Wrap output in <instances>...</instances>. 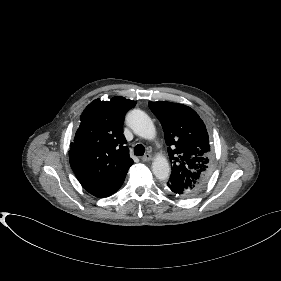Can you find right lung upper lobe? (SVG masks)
Segmentation results:
<instances>
[{"instance_id":"cb5924a9","label":"right lung upper lobe","mask_w":281,"mask_h":281,"mask_svg":"<svg viewBox=\"0 0 281 281\" xmlns=\"http://www.w3.org/2000/svg\"><path fill=\"white\" fill-rule=\"evenodd\" d=\"M136 105L124 97L94 100L81 115L70 144V165L83 188L97 197L115 193L133 164L123 135L126 112Z\"/></svg>"}]
</instances>
